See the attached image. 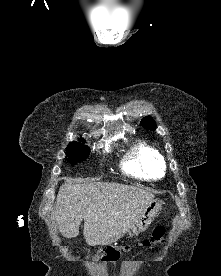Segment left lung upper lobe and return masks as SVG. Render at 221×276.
Returning <instances> with one entry per match:
<instances>
[{
  "mask_svg": "<svg viewBox=\"0 0 221 276\" xmlns=\"http://www.w3.org/2000/svg\"><path fill=\"white\" fill-rule=\"evenodd\" d=\"M141 124L147 130L155 131V129H156V123L151 117H144L141 120Z\"/></svg>",
  "mask_w": 221,
  "mask_h": 276,
  "instance_id": "5c2ea615",
  "label": "left lung upper lobe"
}]
</instances>
